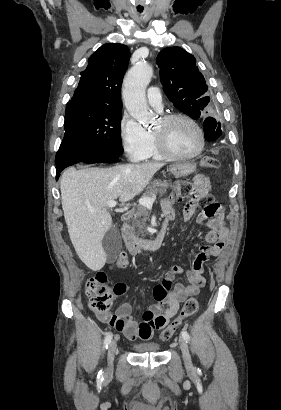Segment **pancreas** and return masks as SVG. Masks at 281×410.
<instances>
[{"label": "pancreas", "mask_w": 281, "mask_h": 410, "mask_svg": "<svg viewBox=\"0 0 281 410\" xmlns=\"http://www.w3.org/2000/svg\"><path fill=\"white\" fill-rule=\"evenodd\" d=\"M169 187H172L171 181L156 180L147 187L143 197H152L159 194L164 195ZM148 220V210L145 206L139 204L136 210L128 215V223L124 226L123 238L126 244H130L138 239L140 234H144L146 221Z\"/></svg>", "instance_id": "1"}]
</instances>
